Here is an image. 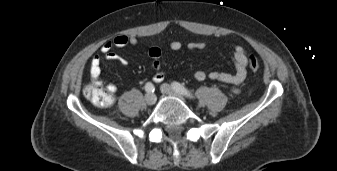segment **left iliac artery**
Returning <instances> with one entry per match:
<instances>
[{"mask_svg": "<svg viewBox=\"0 0 337 171\" xmlns=\"http://www.w3.org/2000/svg\"><path fill=\"white\" fill-rule=\"evenodd\" d=\"M172 87L176 92H178V93H180V94H182V95H184L188 98H191V99L195 98L194 95L188 89H186L183 85H181L178 82H173Z\"/></svg>", "mask_w": 337, "mask_h": 171, "instance_id": "44dca946", "label": "left iliac artery"}]
</instances>
